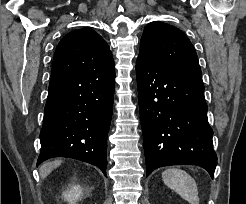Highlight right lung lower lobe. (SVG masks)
I'll return each mask as SVG.
<instances>
[{
  "mask_svg": "<svg viewBox=\"0 0 246 204\" xmlns=\"http://www.w3.org/2000/svg\"><path fill=\"white\" fill-rule=\"evenodd\" d=\"M115 68L52 76L37 166L53 157L78 159L106 175Z\"/></svg>",
  "mask_w": 246,
  "mask_h": 204,
  "instance_id": "right-lung-lower-lobe-1",
  "label": "right lung lower lobe"
}]
</instances>
